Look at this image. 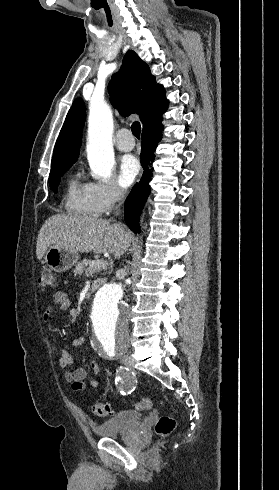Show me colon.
Wrapping results in <instances>:
<instances>
[{
	"label": "colon",
	"mask_w": 279,
	"mask_h": 490,
	"mask_svg": "<svg viewBox=\"0 0 279 490\" xmlns=\"http://www.w3.org/2000/svg\"><path fill=\"white\" fill-rule=\"evenodd\" d=\"M56 282L55 274L52 270L45 268L40 275V285L42 287H54ZM137 411H147L151 407V399L143 397L136 403ZM91 411L96 416L108 417L112 414V407L109 403L95 402L91 406ZM176 423L171 414H162L155 425V432L160 436H168L175 429Z\"/></svg>",
	"instance_id": "colon-1"
}]
</instances>
